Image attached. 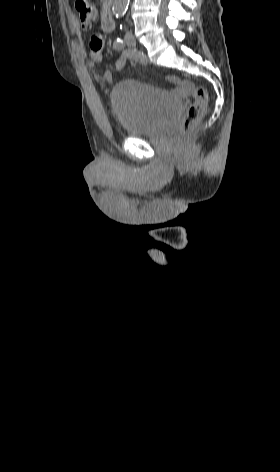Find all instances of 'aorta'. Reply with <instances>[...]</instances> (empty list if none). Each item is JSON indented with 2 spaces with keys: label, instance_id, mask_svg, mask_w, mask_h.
Returning <instances> with one entry per match:
<instances>
[{
  "label": "aorta",
  "instance_id": "obj_1",
  "mask_svg": "<svg viewBox=\"0 0 280 472\" xmlns=\"http://www.w3.org/2000/svg\"><path fill=\"white\" fill-rule=\"evenodd\" d=\"M130 0H114L112 10L116 16H122L129 5Z\"/></svg>",
  "mask_w": 280,
  "mask_h": 472
}]
</instances>
